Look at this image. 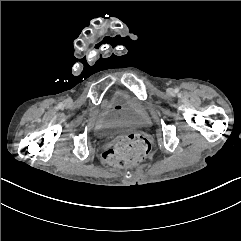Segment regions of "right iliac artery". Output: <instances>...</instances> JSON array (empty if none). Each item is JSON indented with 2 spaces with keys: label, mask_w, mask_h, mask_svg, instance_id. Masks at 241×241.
<instances>
[{
  "label": "right iliac artery",
  "mask_w": 241,
  "mask_h": 241,
  "mask_svg": "<svg viewBox=\"0 0 241 241\" xmlns=\"http://www.w3.org/2000/svg\"><path fill=\"white\" fill-rule=\"evenodd\" d=\"M58 107L63 108V104L62 103L58 104Z\"/></svg>",
  "instance_id": "1"
}]
</instances>
